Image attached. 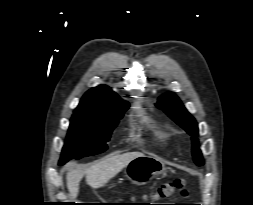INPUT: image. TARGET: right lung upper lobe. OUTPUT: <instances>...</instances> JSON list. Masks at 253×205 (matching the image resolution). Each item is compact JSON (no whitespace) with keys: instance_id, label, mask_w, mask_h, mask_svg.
<instances>
[{"instance_id":"right-lung-upper-lobe-1","label":"right lung upper lobe","mask_w":253,"mask_h":205,"mask_svg":"<svg viewBox=\"0 0 253 205\" xmlns=\"http://www.w3.org/2000/svg\"><path fill=\"white\" fill-rule=\"evenodd\" d=\"M120 102L123 101L108 86L100 85L84 94L75 112L105 115Z\"/></svg>"}]
</instances>
